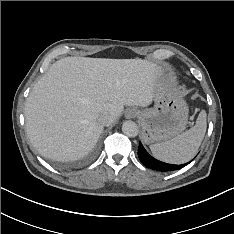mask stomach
<instances>
[{"instance_id": "stomach-1", "label": "stomach", "mask_w": 234, "mask_h": 234, "mask_svg": "<svg viewBox=\"0 0 234 234\" xmlns=\"http://www.w3.org/2000/svg\"><path fill=\"white\" fill-rule=\"evenodd\" d=\"M155 105L140 112L142 139L145 143H161L179 135L188 123V107L177 92L173 77L160 74L155 83Z\"/></svg>"}]
</instances>
